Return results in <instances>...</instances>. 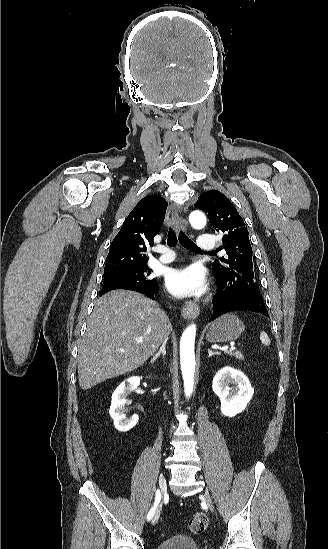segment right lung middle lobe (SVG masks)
<instances>
[{"mask_svg":"<svg viewBox=\"0 0 328 549\" xmlns=\"http://www.w3.org/2000/svg\"><path fill=\"white\" fill-rule=\"evenodd\" d=\"M150 274L147 264L104 272L101 295L115 289H147L156 282Z\"/></svg>","mask_w":328,"mask_h":549,"instance_id":"dd1d6c3e","label":"right lung middle lobe"}]
</instances>
